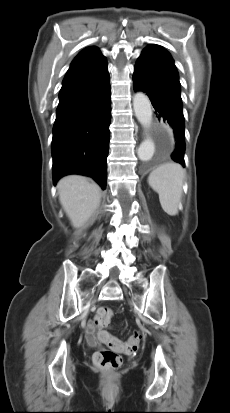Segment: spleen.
Listing matches in <instances>:
<instances>
[{"mask_svg": "<svg viewBox=\"0 0 230 413\" xmlns=\"http://www.w3.org/2000/svg\"><path fill=\"white\" fill-rule=\"evenodd\" d=\"M185 172L181 165L168 162L153 170L148 183L158 193L162 209L170 216L178 214Z\"/></svg>", "mask_w": 230, "mask_h": 413, "instance_id": "3e777b00", "label": "spleen"}]
</instances>
